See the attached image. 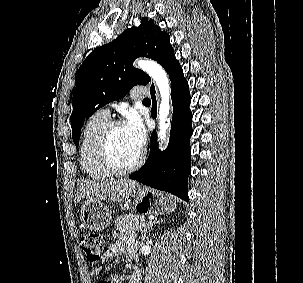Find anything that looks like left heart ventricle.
Instances as JSON below:
<instances>
[{
	"instance_id": "1",
	"label": "left heart ventricle",
	"mask_w": 303,
	"mask_h": 283,
	"mask_svg": "<svg viewBox=\"0 0 303 283\" xmlns=\"http://www.w3.org/2000/svg\"><path fill=\"white\" fill-rule=\"evenodd\" d=\"M111 150L116 164L120 167H127L131 165L138 157L140 150H138L127 134L123 126L117 127L112 134Z\"/></svg>"
}]
</instances>
